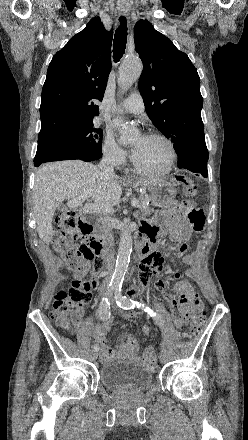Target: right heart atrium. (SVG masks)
Masks as SVG:
<instances>
[{
	"instance_id": "1",
	"label": "right heart atrium",
	"mask_w": 248,
	"mask_h": 440,
	"mask_svg": "<svg viewBox=\"0 0 248 440\" xmlns=\"http://www.w3.org/2000/svg\"><path fill=\"white\" fill-rule=\"evenodd\" d=\"M102 150L105 159L115 166L122 165L126 160V151L118 144L110 132L104 135Z\"/></svg>"
}]
</instances>
